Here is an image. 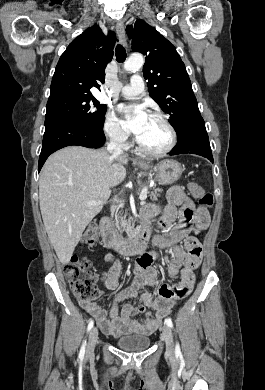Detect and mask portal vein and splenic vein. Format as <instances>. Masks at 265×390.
Segmentation results:
<instances>
[{
  "mask_svg": "<svg viewBox=\"0 0 265 390\" xmlns=\"http://www.w3.org/2000/svg\"><path fill=\"white\" fill-rule=\"evenodd\" d=\"M147 192H148V188L147 187H144L143 189H142V191H141V194H140V196H139V199L141 200V201H144V200H146V198H147ZM114 202L116 201V202H119V200H116V199H114L113 200ZM104 203H106L105 201L104 202H88L87 203V205H100V204H104Z\"/></svg>",
  "mask_w": 265,
  "mask_h": 390,
  "instance_id": "18ae733b",
  "label": "portal vein and splenic vein"
}]
</instances>
